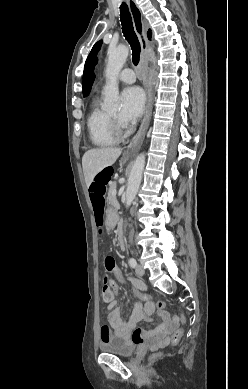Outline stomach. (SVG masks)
I'll use <instances>...</instances> for the list:
<instances>
[{"label": "stomach", "mask_w": 248, "mask_h": 389, "mask_svg": "<svg viewBox=\"0 0 248 389\" xmlns=\"http://www.w3.org/2000/svg\"><path fill=\"white\" fill-rule=\"evenodd\" d=\"M107 215V221L106 224L109 225L108 230L112 231L113 227L112 226H117L119 224V221L117 220L118 215L115 213V206L111 205L106 209Z\"/></svg>", "instance_id": "stomach-1"}]
</instances>
